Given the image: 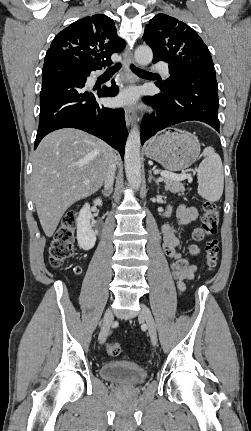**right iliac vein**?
I'll list each match as a JSON object with an SVG mask.
<instances>
[{
  "instance_id": "right-iliac-vein-1",
  "label": "right iliac vein",
  "mask_w": 251,
  "mask_h": 431,
  "mask_svg": "<svg viewBox=\"0 0 251 431\" xmlns=\"http://www.w3.org/2000/svg\"><path fill=\"white\" fill-rule=\"evenodd\" d=\"M113 320H114V317H113L112 310L110 308H108L106 313H105V316H104V325H103L101 332L99 334V342L101 344L105 342V340L109 334L110 326H111Z\"/></svg>"
}]
</instances>
